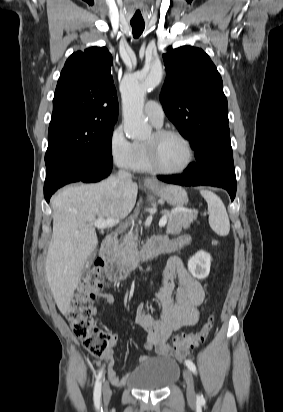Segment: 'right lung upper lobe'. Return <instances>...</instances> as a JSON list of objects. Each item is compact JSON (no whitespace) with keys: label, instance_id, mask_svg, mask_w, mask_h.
Here are the masks:
<instances>
[{"label":"right lung upper lobe","instance_id":"right-lung-upper-lobe-1","mask_svg":"<svg viewBox=\"0 0 283 412\" xmlns=\"http://www.w3.org/2000/svg\"><path fill=\"white\" fill-rule=\"evenodd\" d=\"M111 65L112 56L105 47L73 53L57 83L52 117L78 113L94 117L104 127L114 126L118 99Z\"/></svg>","mask_w":283,"mask_h":412}]
</instances>
